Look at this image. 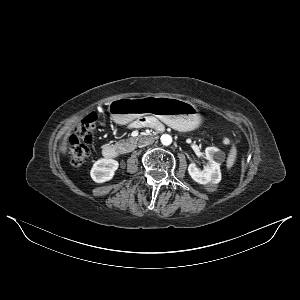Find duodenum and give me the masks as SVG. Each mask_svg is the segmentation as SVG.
Listing matches in <instances>:
<instances>
[{
  "mask_svg": "<svg viewBox=\"0 0 300 300\" xmlns=\"http://www.w3.org/2000/svg\"><path fill=\"white\" fill-rule=\"evenodd\" d=\"M121 153V148L117 145H105L102 149V154L107 159H115Z\"/></svg>",
  "mask_w": 300,
  "mask_h": 300,
  "instance_id": "410a0bca",
  "label": "duodenum"
}]
</instances>
